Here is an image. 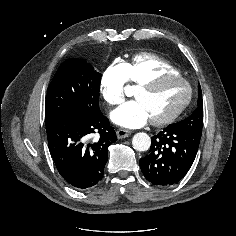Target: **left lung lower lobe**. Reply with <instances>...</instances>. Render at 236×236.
Returning <instances> with one entry per match:
<instances>
[{
	"label": "left lung lower lobe",
	"mask_w": 236,
	"mask_h": 236,
	"mask_svg": "<svg viewBox=\"0 0 236 236\" xmlns=\"http://www.w3.org/2000/svg\"><path fill=\"white\" fill-rule=\"evenodd\" d=\"M201 134L169 125L152 137L150 154L140 159L145 178L154 185L179 182L189 171Z\"/></svg>",
	"instance_id": "left-lung-lower-lobe-1"
}]
</instances>
